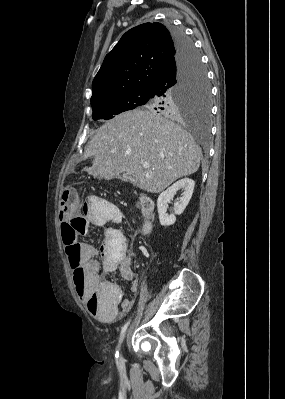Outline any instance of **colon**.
<instances>
[{"label": "colon", "instance_id": "obj_1", "mask_svg": "<svg viewBox=\"0 0 285 399\" xmlns=\"http://www.w3.org/2000/svg\"><path fill=\"white\" fill-rule=\"evenodd\" d=\"M59 211L63 216V220L60 224V230L62 233L63 242L66 245V252L71 265L73 287L74 291L78 293L82 290L84 278L83 266L79 264L80 247L78 245V241L81 237L80 229L86 225V222L82 217V204L79 201L78 193L75 187H68L63 191L60 200ZM108 221H112V218L108 219ZM115 227L118 229L117 226ZM125 254L126 245L121 234L119 246L116 250V258L121 259L125 256ZM99 305L100 303L97 301V306Z\"/></svg>", "mask_w": 285, "mask_h": 399}]
</instances>
